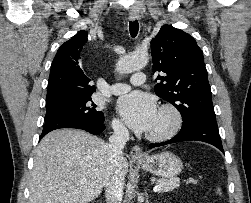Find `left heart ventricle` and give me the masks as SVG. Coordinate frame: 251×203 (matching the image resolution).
Returning a JSON list of instances; mask_svg holds the SVG:
<instances>
[{"mask_svg":"<svg viewBox=\"0 0 251 203\" xmlns=\"http://www.w3.org/2000/svg\"><path fill=\"white\" fill-rule=\"evenodd\" d=\"M170 123L169 117L165 114H157L156 121L150 130V132L162 131L168 127Z\"/></svg>","mask_w":251,"mask_h":203,"instance_id":"1","label":"left heart ventricle"}]
</instances>
